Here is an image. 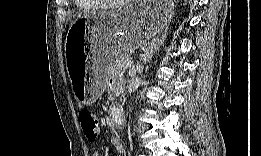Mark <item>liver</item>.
Masks as SVG:
<instances>
[{"instance_id":"obj_1","label":"liver","mask_w":261,"mask_h":156,"mask_svg":"<svg viewBox=\"0 0 261 156\" xmlns=\"http://www.w3.org/2000/svg\"><path fill=\"white\" fill-rule=\"evenodd\" d=\"M110 13H112V12H109V13H107V12H102L100 15H108V14H110ZM93 16H95V15H93ZM73 23H74V22H73ZM73 23H72V24H73ZM72 24H71V25H72Z\"/></svg>"}]
</instances>
